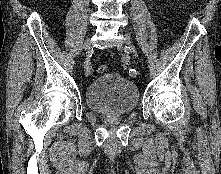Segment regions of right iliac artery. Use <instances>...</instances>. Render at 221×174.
Wrapping results in <instances>:
<instances>
[{"mask_svg": "<svg viewBox=\"0 0 221 174\" xmlns=\"http://www.w3.org/2000/svg\"><path fill=\"white\" fill-rule=\"evenodd\" d=\"M84 69L87 76L91 75L93 69L90 60L87 58L84 62Z\"/></svg>", "mask_w": 221, "mask_h": 174, "instance_id": "82829eb1", "label": "right iliac artery"}]
</instances>
